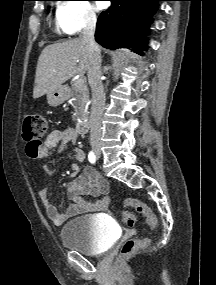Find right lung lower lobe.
<instances>
[{
	"label": "right lung lower lobe",
	"mask_w": 216,
	"mask_h": 285,
	"mask_svg": "<svg viewBox=\"0 0 216 285\" xmlns=\"http://www.w3.org/2000/svg\"><path fill=\"white\" fill-rule=\"evenodd\" d=\"M111 6L102 12L96 25V41L103 47L133 48L135 52L146 49L145 34L152 15L162 0H110ZM147 29V30H146Z\"/></svg>",
	"instance_id": "right-lung-lower-lobe-1"
}]
</instances>
